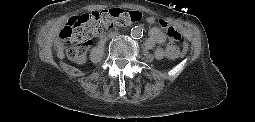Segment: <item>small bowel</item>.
Here are the masks:
<instances>
[{"instance_id": "1", "label": "small bowel", "mask_w": 255, "mask_h": 122, "mask_svg": "<svg viewBox=\"0 0 255 122\" xmlns=\"http://www.w3.org/2000/svg\"><path fill=\"white\" fill-rule=\"evenodd\" d=\"M147 22L150 24H153L156 22V20L153 17H148ZM160 23H166V22L165 20L160 19L158 20V24L160 25ZM161 27L155 26L150 29L149 37L145 43V46L147 49H152L156 45L163 44L166 41L167 39L166 34L163 32ZM154 55L157 59H162L164 57V49L162 47L156 48L154 51Z\"/></svg>"}]
</instances>
